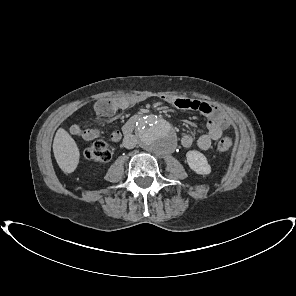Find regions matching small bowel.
<instances>
[{"label": "small bowel", "mask_w": 296, "mask_h": 296, "mask_svg": "<svg viewBox=\"0 0 296 296\" xmlns=\"http://www.w3.org/2000/svg\"><path fill=\"white\" fill-rule=\"evenodd\" d=\"M163 100L178 109L195 110L208 118L207 130L200 135L196 140V145L201 150L210 148L213 141L218 140L223 131L230 126L229 116L220 108L213 104L197 99L165 96ZM134 103L133 100L124 98L103 99L95 103L94 114L96 119L111 116L117 111L125 110ZM193 123L186 121L185 126L191 127ZM70 133L76 137L91 141L100 136V131L97 128H84L79 124H73L70 127ZM123 136V130H113L109 133V139L112 142H118ZM180 143L183 147L188 148L194 143V138L191 134L185 133L180 137Z\"/></svg>", "instance_id": "small-bowel-1"}]
</instances>
